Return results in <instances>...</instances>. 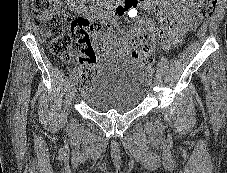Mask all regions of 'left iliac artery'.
<instances>
[{
	"mask_svg": "<svg viewBox=\"0 0 227 173\" xmlns=\"http://www.w3.org/2000/svg\"><path fill=\"white\" fill-rule=\"evenodd\" d=\"M147 71L153 74L155 72V69L152 66H148Z\"/></svg>",
	"mask_w": 227,
	"mask_h": 173,
	"instance_id": "44dca946",
	"label": "left iliac artery"
}]
</instances>
